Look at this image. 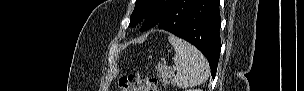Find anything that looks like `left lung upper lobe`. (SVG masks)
Instances as JSON below:
<instances>
[{
    "mask_svg": "<svg viewBox=\"0 0 304 91\" xmlns=\"http://www.w3.org/2000/svg\"><path fill=\"white\" fill-rule=\"evenodd\" d=\"M174 1L175 0H136L129 26H134L145 17H147V19L142 27V31L155 26L166 15Z\"/></svg>",
    "mask_w": 304,
    "mask_h": 91,
    "instance_id": "left-lung-upper-lobe-1",
    "label": "left lung upper lobe"
}]
</instances>
